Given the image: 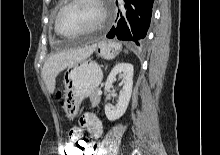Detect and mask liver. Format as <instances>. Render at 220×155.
Wrapping results in <instances>:
<instances>
[{
  "instance_id": "obj_1",
  "label": "liver",
  "mask_w": 220,
  "mask_h": 155,
  "mask_svg": "<svg viewBox=\"0 0 220 155\" xmlns=\"http://www.w3.org/2000/svg\"><path fill=\"white\" fill-rule=\"evenodd\" d=\"M95 47L90 46L82 49L64 50L50 56L42 69L43 80L50 93L55 90L56 77L65 68H70L88 58Z\"/></svg>"
}]
</instances>
